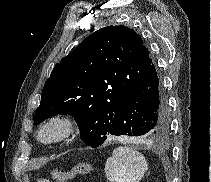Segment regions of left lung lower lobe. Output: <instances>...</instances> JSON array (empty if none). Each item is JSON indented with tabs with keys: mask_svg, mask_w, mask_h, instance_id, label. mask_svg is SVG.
I'll return each mask as SVG.
<instances>
[{
	"mask_svg": "<svg viewBox=\"0 0 211 182\" xmlns=\"http://www.w3.org/2000/svg\"><path fill=\"white\" fill-rule=\"evenodd\" d=\"M167 97L154 63L139 86L120 107L111 134L152 141L164 136L169 128Z\"/></svg>",
	"mask_w": 211,
	"mask_h": 182,
	"instance_id": "left-lung-lower-lobe-1",
	"label": "left lung lower lobe"
}]
</instances>
